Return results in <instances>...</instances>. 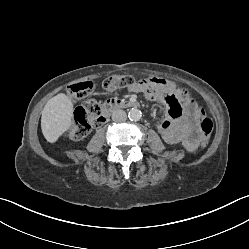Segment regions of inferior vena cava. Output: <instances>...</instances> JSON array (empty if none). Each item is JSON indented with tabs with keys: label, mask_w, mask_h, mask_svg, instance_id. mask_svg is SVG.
I'll return each instance as SVG.
<instances>
[{
	"label": "inferior vena cava",
	"mask_w": 249,
	"mask_h": 249,
	"mask_svg": "<svg viewBox=\"0 0 249 249\" xmlns=\"http://www.w3.org/2000/svg\"><path fill=\"white\" fill-rule=\"evenodd\" d=\"M126 119H127V115L125 111L123 110H115L112 113V120L115 122H122V121H125Z\"/></svg>",
	"instance_id": "1"
}]
</instances>
